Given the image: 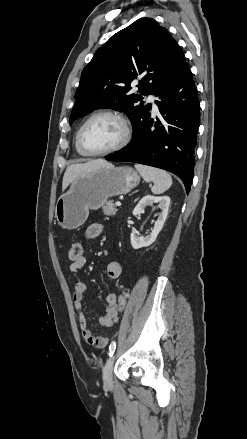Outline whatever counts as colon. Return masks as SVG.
<instances>
[{"mask_svg": "<svg viewBox=\"0 0 247 439\" xmlns=\"http://www.w3.org/2000/svg\"><path fill=\"white\" fill-rule=\"evenodd\" d=\"M68 254H69V258L73 261L80 258L83 254L82 244L79 242L73 243L69 249ZM127 300H128V291L126 289H122L117 300V316L125 309Z\"/></svg>", "mask_w": 247, "mask_h": 439, "instance_id": "5ec220e1", "label": "colon"}]
</instances>
